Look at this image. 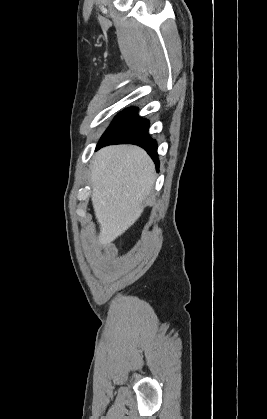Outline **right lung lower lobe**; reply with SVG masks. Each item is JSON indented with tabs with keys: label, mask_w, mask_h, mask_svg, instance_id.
Returning a JSON list of instances; mask_svg holds the SVG:
<instances>
[{
	"label": "right lung lower lobe",
	"mask_w": 267,
	"mask_h": 419,
	"mask_svg": "<svg viewBox=\"0 0 267 419\" xmlns=\"http://www.w3.org/2000/svg\"><path fill=\"white\" fill-rule=\"evenodd\" d=\"M149 122L138 116L137 109L129 108L120 112L101 137L96 150L110 144H134L147 151L159 168L157 143L148 135Z\"/></svg>",
	"instance_id": "right-lung-lower-lobe-1"
}]
</instances>
